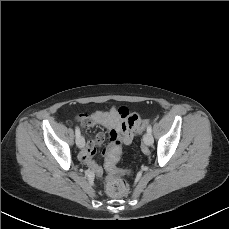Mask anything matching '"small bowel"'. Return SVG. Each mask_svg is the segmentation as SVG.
<instances>
[{
	"mask_svg": "<svg viewBox=\"0 0 229 229\" xmlns=\"http://www.w3.org/2000/svg\"><path fill=\"white\" fill-rule=\"evenodd\" d=\"M135 115L126 107L119 109H111L107 112L96 111L94 113H81L76 116V120L83 128H90L100 125L109 130L110 134L115 133V139L110 141L105 153L104 167L109 173L116 170V161H114V154L116 151H121V144H130L133 139V133L126 130V126L130 118ZM104 133L97 134L93 138H88L85 145L80 151L78 158L87 164L91 169L98 171L99 165L92 160L91 155L96 150V147L101 145L105 140ZM85 140V139H84Z\"/></svg>",
	"mask_w": 229,
	"mask_h": 229,
	"instance_id": "c3829d8e",
	"label": "small bowel"
}]
</instances>
